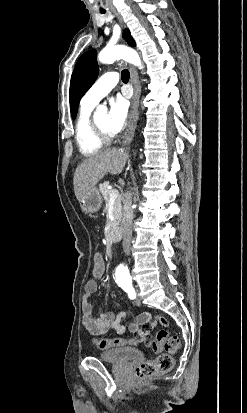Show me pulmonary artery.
Listing matches in <instances>:
<instances>
[{
    "label": "pulmonary artery",
    "mask_w": 247,
    "mask_h": 413,
    "mask_svg": "<svg viewBox=\"0 0 247 413\" xmlns=\"http://www.w3.org/2000/svg\"><path fill=\"white\" fill-rule=\"evenodd\" d=\"M118 79L117 72H106L98 77L82 98L85 106L96 105L118 82Z\"/></svg>",
    "instance_id": "1"
}]
</instances>
